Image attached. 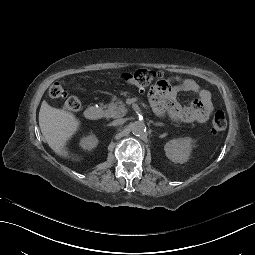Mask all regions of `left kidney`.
<instances>
[{
    "label": "left kidney",
    "instance_id": "5707ae66",
    "mask_svg": "<svg viewBox=\"0 0 255 255\" xmlns=\"http://www.w3.org/2000/svg\"><path fill=\"white\" fill-rule=\"evenodd\" d=\"M191 139L169 141L164 150L167 157L174 163H183L187 160L189 155Z\"/></svg>",
    "mask_w": 255,
    "mask_h": 255
}]
</instances>
